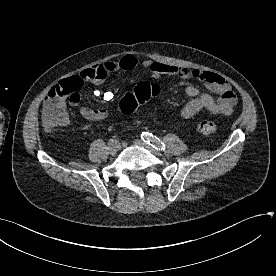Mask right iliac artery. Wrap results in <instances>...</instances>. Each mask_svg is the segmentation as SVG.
Returning <instances> with one entry per match:
<instances>
[{"instance_id": "82829eb1", "label": "right iliac artery", "mask_w": 276, "mask_h": 276, "mask_svg": "<svg viewBox=\"0 0 276 276\" xmlns=\"http://www.w3.org/2000/svg\"><path fill=\"white\" fill-rule=\"evenodd\" d=\"M109 145H119V141L117 139H110L108 142Z\"/></svg>"}]
</instances>
